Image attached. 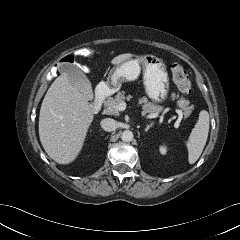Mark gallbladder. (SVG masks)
Here are the masks:
<instances>
[{"label":"gallbladder","mask_w":240,"mask_h":240,"mask_svg":"<svg viewBox=\"0 0 240 240\" xmlns=\"http://www.w3.org/2000/svg\"><path fill=\"white\" fill-rule=\"evenodd\" d=\"M60 71L66 73L70 84L83 93L88 100L93 99L91 83L79 65L64 64L60 67Z\"/></svg>","instance_id":"bac80fb5"}]
</instances>
